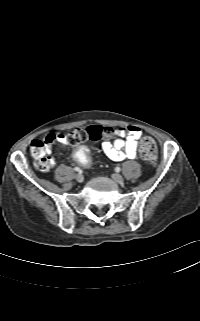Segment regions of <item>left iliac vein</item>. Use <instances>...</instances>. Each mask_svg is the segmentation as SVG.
<instances>
[{
  "mask_svg": "<svg viewBox=\"0 0 200 321\" xmlns=\"http://www.w3.org/2000/svg\"><path fill=\"white\" fill-rule=\"evenodd\" d=\"M112 178L117 182V183H120L122 184L124 182V178L118 174V173H114L112 174Z\"/></svg>",
  "mask_w": 200,
  "mask_h": 321,
  "instance_id": "1",
  "label": "left iliac vein"
}]
</instances>
